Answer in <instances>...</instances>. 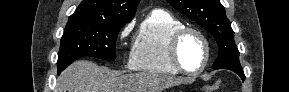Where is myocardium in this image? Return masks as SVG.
<instances>
[{
	"instance_id": "f54148a6",
	"label": "myocardium",
	"mask_w": 289,
	"mask_h": 92,
	"mask_svg": "<svg viewBox=\"0 0 289 92\" xmlns=\"http://www.w3.org/2000/svg\"><path fill=\"white\" fill-rule=\"evenodd\" d=\"M188 34L196 35L204 45L203 63L197 70L194 71L187 70L181 63L179 56V49L181 42L184 39V37L187 36ZM169 53L173 65L177 68L179 72L187 75H198L202 73L208 65L210 59V44L207 37L200 30L193 27H182L173 34L170 40Z\"/></svg>"
}]
</instances>
